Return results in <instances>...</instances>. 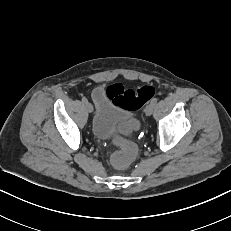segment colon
I'll use <instances>...</instances> for the list:
<instances>
[{
    "instance_id": "5ec220e1",
    "label": "colon",
    "mask_w": 231,
    "mask_h": 231,
    "mask_svg": "<svg viewBox=\"0 0 231 231\" xmlns=\"http://www.w3.org/2000/svg\"><path fill=\"white\" fill-rule=\"evenodd\" d=\"M110 99L118 106L135 111L140 109L155 94L156 90L152 85H143L136 89L128 88L122 82H116L106 89ZM136 155L134 144L127 141L118 142V150L112 153L110 161L116 168H125Z\"/></svg>"
}]
</instances>
